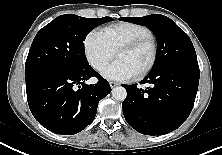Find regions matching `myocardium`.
<instances>
[{"label": "myocardium", "mask_w": 222, "mask_h": 155, "mask_svg": "<svg viewBox=\"0 0 222 155\" xmlns=\"http://www.w3.org/2000/svg\"><path fill=\"white\" fill-rule=\"evenodd\" d=\"M145 44H149L151 46L152 56H151V59L148 62V64L140 72L135 74L136 79L144 78L149 72H151V70L154 68V66L157 62L159 49H158V43H157L155 37L153 35L141 37V38L135 39L131 42L123 44L122 46H120L116 50V56H117V54H119L120 52L133 51Z\"/></svg>", "instance_id": "obj_1"}]
</instances>
